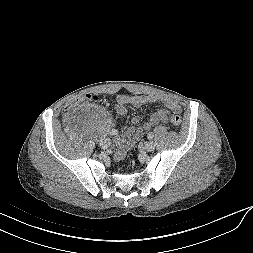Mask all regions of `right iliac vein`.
<instances>
[{"label":"right iliac vein","mask_w":253,"mask_h":253,"mask_svg":"<svg viewBox=\"0 0 253 253\" xmlns=\"http://www.w3.org/2000/svg\"><path fill=\"white\" fill-rule=\"evenodd\" d=\"M99 145H100L101 148L107 149V148L109 147V145H110V142H109V140H107V139H102V140L99 142Z\"/></svg>","instance_id":"1"}]
</instances>
